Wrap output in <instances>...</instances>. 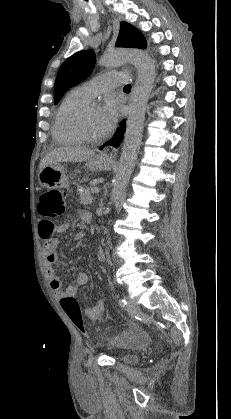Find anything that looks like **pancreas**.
Masks as SVG:
<instances>
[{
    "instance_id": "pancreas-1",
    "label": "pancreas",
    "mask_w": 231,
    "mask_h": 419,
    "mask_svg": "<svg viewBox=\"0 0 231 419\" xmlns=\"http://www.w3.org/2000/svg\"><path fill=\"white\" fill-rule=\"evenodd\" d=\"M92 188H85L83 192H80V203L84 205H90L93 202V197L91 195Z\"/></svg>"
}]
</instances>
